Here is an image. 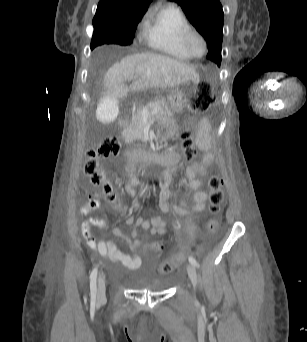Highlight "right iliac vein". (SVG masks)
Masks as SVG:
<instances>
[{
  "label": "right iliac vein",
  "instance_id": "63e3f726",
  "mask_svg": "<svg viewBox=\"0 0 307 342\" xmlns=\"http://www.w3.org/2000/svg\"><path fill=\"white\" fill-rule=\"evenodd\" d=\"M105 291H106L105 281H104L103 277L100 276L98 279V293H97V297L99 300L104 299Z\"/></svg>",
  "mask_w": 307,
  "mask_h": 342
}]
</instances>
